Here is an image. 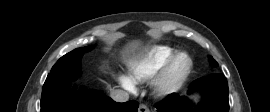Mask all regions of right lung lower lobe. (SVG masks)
I'll return each instance as SVG.
<instances>
[{
	"instance_id": "obj_1",
	"label": "right lung lower lobe",
	"mask_w": 270,
	"mask_h": 112,
	"mask_svg": "<svg viewBox=\"0 0 270 112\" xmlns=\"http://www.w3.org/2000/svg\"><path fill=\"white\" fill-rule=\"evenodd\" d=\"M71 80L60 85L45 82L41 96V112H137L138 102L117 103L101 91L80 93L71 89Z\"/></svg>"
}]
</instances>
